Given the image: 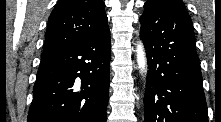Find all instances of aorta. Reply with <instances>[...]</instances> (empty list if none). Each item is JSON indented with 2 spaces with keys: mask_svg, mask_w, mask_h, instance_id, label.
Segmentation results:
<instances>
[{
  "mask_svg": "<svg viewBox=\"0 0 221 122\" xmlns=\"http://www.w3.org/2000/svg\"><path fill=\"white\" fill-rule=\"evenodd\" d=\"M136 55H137V63H138L140 71L142 73H146V67H147L146 55H145L144 47L141 43L137 45Z\"/></svg>",
  "mask_w": 221,
  "mask_h": 122,
  "instance_id": "aorta-1",
  "label": "aorta"
}]
</instances>
